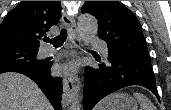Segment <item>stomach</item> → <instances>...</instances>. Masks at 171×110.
<instances>
[{
  "label": "stomach",
  "mask_w": 171,
  "mask_h": 110,
  "mask_svg": "<svg viewBox=\"0 0 171 110\" xmlns=\"http://www.w3.org/2000/svg\"><path fill=\"white\" fill-rule=\"evenodd\" d=\"M101 110H137V102L125 93H115L102 101Z\"/></svg>",
  "instance_id": "stomach-1"
}]
</instances>
